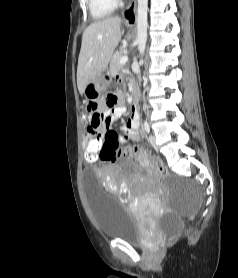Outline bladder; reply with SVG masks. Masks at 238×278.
Wrapping results in <instances>:
<instances>
[{"label": "bladder", "instance_id": "1", "mask_svg": "<svg viewBox=\"0 0 238 278\" xmlns=\"http://www.w3.org/2000/svg\"><path fill=\"white\" fill-rule=\"evenodd\" d=\"M84 180H95L91 169H84ZM88 203L96 226L106 238L142 243L146 233L142 222L114 195L101 189L99 181H85Z\"/></svg>", "mask_w": 238, "mask_h": 278}]
</instances>
